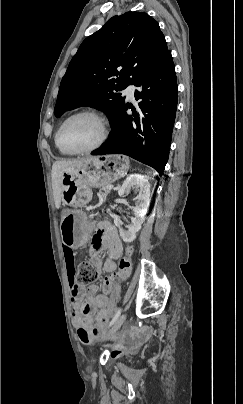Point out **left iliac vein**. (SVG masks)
Returning a JSON list of instances; mask_svg holds the SVG:
<instances>
[{
	"label": "left iliac vein",
	"mask_w": 243,
	"mask_h": 404,
	"mask_svg": "<svg viewBox=\"0 0 243 404\" xmlns=\"http://www.w3.org/2000/svg\"><path fill=\"white\" fill-rule=\"evenodd\" d=\"M126 318V314H122L117 321L114 323V325L112 326V328L109 330L107 337L114 334L116 331H118L120 329V327L122 326V324L124 323Z\"/></svg>",
	"instance_id": "left-iliac-vein-1"
}]
</instances>
